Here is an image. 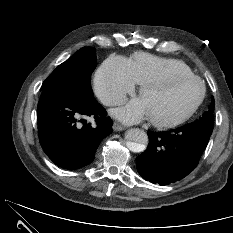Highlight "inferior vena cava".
Masks as SVG:
<instances>
[{
  "label": "inferior vena cava",
  "instance_id": "inferior-vena-cava-1",
  "mask_svg": "<svg viewBox=\"0 0 233 233\" xmlns=\"http://www.w3.org/2000/svg\"><path fill=\"white\" fill-rule=\"evenodd\" d=\"M122 101V98L120 97H112L106 101L107 105H117L120 104Z\"/></svg>",
  "mask_w": 233,
  "mask_h": 233
}]
</instances>
